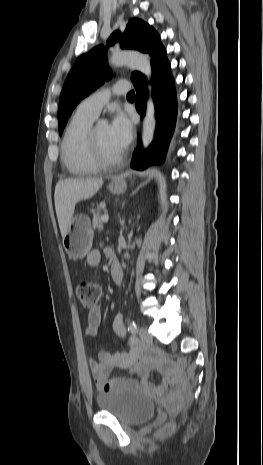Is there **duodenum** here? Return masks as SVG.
<instances>
[{
	"mask_svg": "<svg viewBox=\"0 0 263 465\" xmlns=\"http://www.w3.org/2000/svg\"><path fill=\"white\" fill-rule=\"evenodd\" d=\"M111 276L116 284L121 283L123 278V271L120 263L117 260H113L111 264Z\"/></svg>",
	"mask_w": 263,
	"mask_h": 465,
	"instance_id": "1",
	"label": "duodenum"
}]
</instances>
